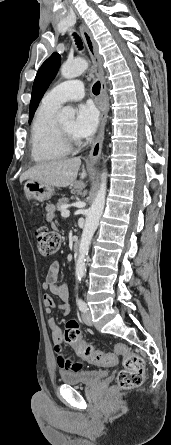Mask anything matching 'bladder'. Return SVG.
Wrapping results in <instances>:
<instances>
[{
	"mask_svg": "<svg viewBox=\"0 0 171 445\" xmlns=\"http://www.w3.org/2000/svg\"><path fill=\"white\" fill-rule=\"evenodd\" d=\"M108 376L105 369L62 371L61 380L68 385H92Z\"/></svg>",
	"mask_w": 171,
	"mask_h": 445,
	"instance_id": "bladder-1",
	"label": "bladder"
}]
</instances>
